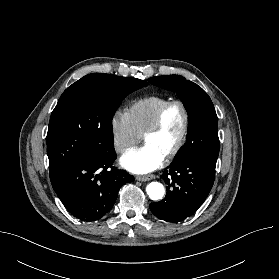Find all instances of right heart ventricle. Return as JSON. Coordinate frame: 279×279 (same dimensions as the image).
<instances>
[{"instance_id":"right-heart-ventricle-1","label":"right heart ventricle","mask_w":279,"mask_h":279,"mask_svg":"<svg viewBox=\"0 0 279 279\" xmlns=\"http://www.w3.org/2000/svg\"><path fill=\"white\" fill-rule=\"evenodd\" d=\"M169 100L167 97L151 95L137 99L128 106L126 113L139 134L145 132L159 108Z\"/></svg>"}]
</instances>
